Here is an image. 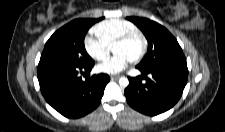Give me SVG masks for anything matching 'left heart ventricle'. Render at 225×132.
Segmentation results:
<instances>
[{"label":"left heart ventricle","instance_id":"obj_1","mask_svg":"<svg viewBox=\"0 0 225 132\" xmlns=\"http://www.w3.org/2000/svg\"><path fill=\"white\" fill-rule=\"evenodd\" d=\"M142 48V41L139 37H134L130 41L117 45L113 48L115 54L124 53L131 59L139 54Z\"/></svg>","mask_w":225,"mask_h":132}]
</instances>
